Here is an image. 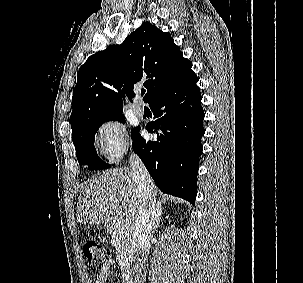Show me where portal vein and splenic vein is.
Segmentation results:
<instances>
[{"mask_svg":"<svg viewBox=\"0 0 303 283\" xmlns=\"http://www.w3.org/2000/svg\"><path fill=\"white\" fill-rule=\"evenodd\" d=\"M121 225H122L123 227H125V228H128L129 225H130V222H129V220H127V219H123V220L121 221Z\"/></svg>","mask_w":303,"mask_h":283,"instance_id":"18ae733b","label":"portal vein and splenic vein"}]
</instances>
